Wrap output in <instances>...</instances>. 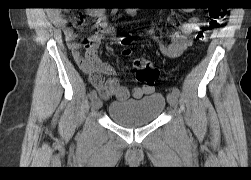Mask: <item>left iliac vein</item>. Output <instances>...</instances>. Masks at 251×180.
Returning a JSON list of instances; mask_svg holds the SVG:
<instances>
[{
	"mask_svg": "<svg viewBox=\"0 0 251 180\" xmlns=\"http://www.w3.org/2000/svg\"><path fill=\"white\" fill-rule=\"evenodd\" d=\"M167 100H168V103L170 104V106L176 108L177 103H178V99H177V96L174 93H169L167 95Z\"/></svg>",
	"mask_w": 251,
	"mask_h": 180,
	"instance_id": "4c4485c4",
	"label": "left iliac vein"
}]
</instances>
